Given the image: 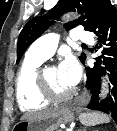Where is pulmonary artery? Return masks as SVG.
Returning a JSON list of instances; mask_svg holds the SVG:
<instances>
[{"mask_svg": "<svg viewBox=\"0 0 117 131\" xmlns=\"http://www.w3.org/2000/svg\"><path fill=\"white\" fill-rule=\"evenodd\" d=\"M74 39L83 43H92L93 36L90 32L76 28L74 31ZM59 36L50 33L36 40L26 53L27 58L46 60L50 58L58 45Z\"/></svg>", "mask_w": 117, "mask_h": 131, "instance_id": "1", "label": "pulmonary artery"}]
</instances>
